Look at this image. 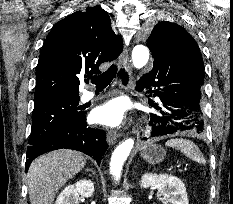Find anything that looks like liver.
I'll return each instance as SVG.
<instances>
[{"label": "liver", "mask_w": 233, "mask_h": 204, "mask_svg": "<svg viewBox=\"0 0 233 204\" xmlns=\"http://www.w3.org/2000/svg\"><path fill=\"white\" fill-rule=\"evenodd\" d=\"M85 165V157L70 149L52 151L35 159L27 174L30 203L52 204L57 191Z\"/></svg>", "instance_id": "6515ba94"}]
</instances>
